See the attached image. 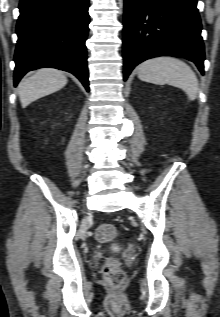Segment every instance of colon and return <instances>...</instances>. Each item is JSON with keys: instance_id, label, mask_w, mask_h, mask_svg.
I'll use <instances>...</instances> for the list:
<instances>
[{"instance_id": "1", "label": "colon", "mask_w": 220, "mask_h": 317, "mask_svg": "<svg viewBox=\"0 0 220 317\" xmlns=\"http://www.w3.org/2000/svg\"><path fill=\"white\" fill-rule=\"evenodd\" d=\"M118 231L115 226L109 223H102L96 228L95 237L100 242H109L115 239ZM102 276L107 285L112 288L120 287L126 279L124 271L121 269L119 262L114 257L106 259L102 267Z\"/></svg>"}]
</instances>
